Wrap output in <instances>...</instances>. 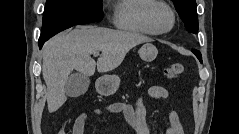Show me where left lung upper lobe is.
<instances>
[{"label":"left lung upper lobe","instance_id":"left-lung-upper-lobe-1","mask_svg":"<svg viewBox=\"0 0 239 134\" xmlns=\"http://www.w3.org/2000/svg\"><path fill=\"white\" fill-rule=\"evenodd\" d=\"M175 8L179 13L185 27L189 32L196 33L198 31V18L195 0H172ZM202 62V58L199 59Z\"/></svg>","mask_w":239,"mask_h":134}]
</instances>
